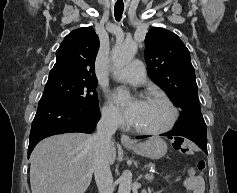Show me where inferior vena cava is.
I'll return each mask as SVG.
<instances>
[{"label":"inferior vena cava","instance_id":"1","mask_svg":"<svg viewBox=\"0 0 237 193\" xmlns=\"http://www.w3.org/2000/svg\"><path fill=\"white\" fill-rule=\"evenodd\" d=\"M119 118L114 112H103L97 123L93 139V171L99 193H113V178L109 165L112 135L116 132Z\"/></svg>","mask_w":237,"mask_h":193}]
</instances>
